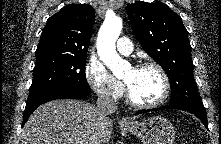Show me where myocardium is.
<instances>
[{
  "label": "myocardium",
  "instance_id": "obj_1",
  "mask_svg": "<svg viewBox=\"0 0 221 144\" xmlns=\"http://www.w3.org/2000/svg\"><path fill=\"white\" fill-rule=\"evenodd\" d=\"M144 68H153L159 73V75L162 79V83H163V91H162L161 96L156 101H153L150 103L139 102L133 97L129 86L126 83L127 84L126 85L127 100L132 106L137 107V108H146V109L156 108V107L162 105L167 100V98L170 94V88H171L170 80H169V77H168L167 73L165 72V70L156 62L144 61V62L137 64L134 67V69H136V70H140V69H144Z\"/></svg>",
  "mask_w": 221,
  "mask_h": 144
}]
</instances>
